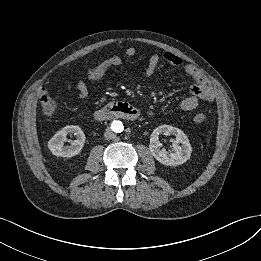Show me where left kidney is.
Returning <instances> with one entry per match:
<instances>
[{"label":"left kidney","mask_w":261,"mask_h":261,"mask_svg":"<svg viewBox=\"0 0 261 261\" xmlns=\"http://www.w3.org/2000/svg\"><path fill=\"white\" fill-rule=\"evenodd\" d=\"M159 134L174 135L176 137L170 149L161 148L162 143L158 140ZM179 144L182 145L180 146ZM149 149L151 155L166 166H177L185 163L190 158L192 152L187 135L179 128L169 125H161L153 130Z\"/></svg>","instance_id":"left-kidney-1"}]
</instances>
